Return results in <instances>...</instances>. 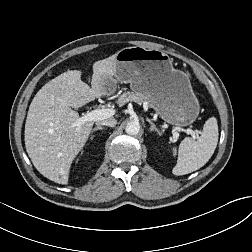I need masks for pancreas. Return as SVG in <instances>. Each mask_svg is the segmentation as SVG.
<instances>
[{
    "mask_svg": "<svg viewBox=\"0 0 252 252\" xmlns=\"http://www.w3.org/2000/svg\"><path fill=\"white\" fill-rule=\"evenodd\" d=\"M128 102H136L137 104L141 105V104H144L146 101L143 98V96L139 93L126 92L119 97L117 104L119 106H123L124 104Z\"/></svg>",
    "mask_w": 252,
    "mask_h": 252,
    "instance_id": "cf45deb5",
    "label": "pancreas"
}]
</instances>
